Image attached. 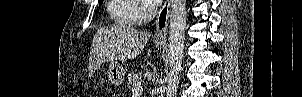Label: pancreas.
Wrapping results in <instances>:
<instances>
[{"instance_id":"pancreas-1","label":"pancreas","mask_w":302,"mask_h":97,"mask_svg":"<svg viewBox=\"0 0 302 97\" xmlns=\"http://www.w3.org/2000/svg\"><path fill=\"white\" fill-rule=\"evenodd\" d=\"M144 79V76L141 72L130 73L128 75V89L134 87L135 85L140 84Z\"/></svg>"}]
</instances>
